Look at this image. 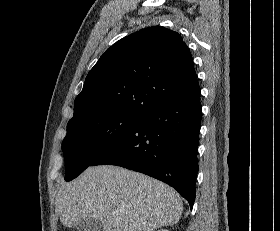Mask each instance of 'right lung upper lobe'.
<instances>
[{"label":"right lung upper lobe","instance_id":"1","mask_svg":"<svg viewBox=\"0 0 280 231\" xmlns=\"http://www.w3.org/2000/svg\"><path fill=\"white\" fill-rule=\"evenodd\" d=\"M199 93L193 58L181 36L162 26L148 27L100 57L75 99L72 119L142 117L161 104Z\"/></svg>","mask_w":280,"mask_h":231}]
</instances>
